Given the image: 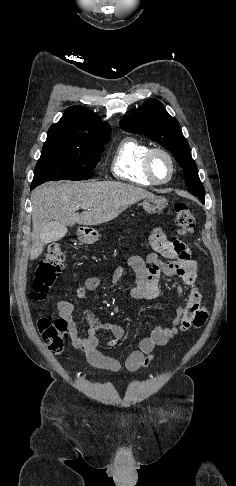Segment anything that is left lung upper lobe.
<instances>
[{
  "mask_svg": "<svg viewBox=\"0 0 236 486\" xmlns=\"http://www.w3.org/2000/svg\"><path fill=\"white\" fill-rule=\"evenodd\" d=\"M120 126L128 132L144 134L168 149L184 168L187 190L204 203L205 190L199 179L196 163L192 159L189 144L182 134L179 122L167 113L161 102L155 99L147 100L134 114L124 118Z\"/></svg>",
  "mask_w": 236,
  "mask_h": 486,
  "instance_id": "left-lung-upper-lobe-1",
  "label": "left lung upper lobe"
}]
</instances>
